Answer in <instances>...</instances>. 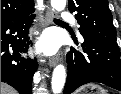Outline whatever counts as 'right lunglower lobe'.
<instances>
[{
  "mask_svg": "<svg viewBox=\"0 0 121 94\" xmlns=\"http://www.w3.org/2000/svg\"><path fill=\"white\" fill-rule=\"evenodd\" d=\"M33 12L34 8L1 20V82L11 85L20 94H32V78L37 70L36 60L20 56L29 47L28 32L35 17Z\"/></svg>",
  "mask_w": 121,
  "mask_h": 94,
  "instance_id": "right-lung-lower-lobe-1",
  "label": "right lung lower lobe"
}]
</instances>
